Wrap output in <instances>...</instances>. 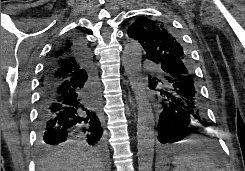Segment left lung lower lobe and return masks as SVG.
I'll return each mask as SVG.
<instances>
[{"label": "left lung lower lobe", "mask_w": 245, "mask_h": 171, "mask_svg": "<svg viewBox=\"0 0 245 171\" xmlns=\"http://www.w3.org/2000/svg\"><path fill=\"white\" fill-rule=\"evenodd\" d=\"M159 66L163 78L149 77L150 89H156L162 96L158 120V141L172 144L189 135L192 126H208L206 111L199 94L197 82L189 64L179 58L168 56ZM161 83L165 86H161Z\"/></svg>", "instance_id": "obj_1"}]
</instances>
